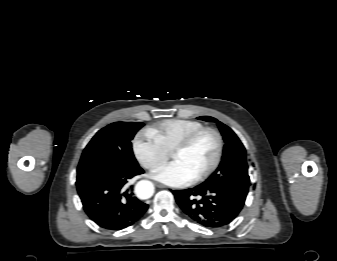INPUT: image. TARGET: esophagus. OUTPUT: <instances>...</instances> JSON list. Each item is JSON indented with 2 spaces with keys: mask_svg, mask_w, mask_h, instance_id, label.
<instances>
[{
  "mask_svg": "<svg viewBox=\"0 0 337 261\" xmlns=\"http://www.w3.org/2000/svg\"><path fill=\"white\" fill-rule=\"evenodd\" d=\"M156 186L158 187V188H167L165 185H163V184H161V183H156Z\"/></svg>",
  "mask_w": 337,
  "mask_h": 261,
  "instance_id": "1",
  "label": "esophagus"
}]
</instances>
